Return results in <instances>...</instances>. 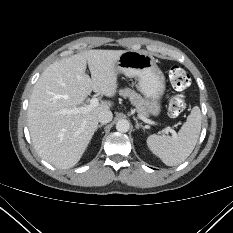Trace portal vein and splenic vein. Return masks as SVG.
<instances>
[{
  "mask_svg": "<svg viewBox=\"0 0 233 233\" xmlns=\"http://www.w3.org/2000/svg\"><path fill=\"white\" fill-rule=\"evenodd\" d=\"M98 105H99V100L94 97L90 100V104L79 107V108H75V109L71 110L70 113H86V112L90 111L92 108L97 107ZM138 117L142 121H144L145 123L153 124V122L151 120L147 119L146 117H144L140 114L138 115ZM165 131L167 133L170 132L173 135L176 134V132L173 129H171L170 127H166Z\"/></svg>",
  "mask_w": 233,
  "mask_h": 233,
  "instance_id": "1",
  "label": "portal vein and splenic vein"
}]
</instances>
